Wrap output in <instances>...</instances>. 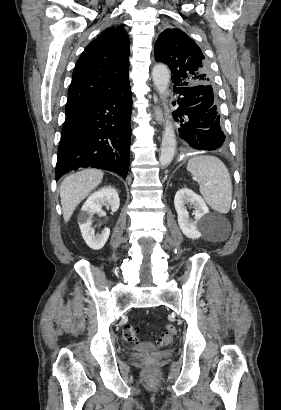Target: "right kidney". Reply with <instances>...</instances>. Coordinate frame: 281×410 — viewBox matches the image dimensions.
Wrapping results in <instances>:
<instances>
[{"label":"right kidney","mask_w":281,"mask_h":410,"mask_svg":"<svg viewBox=\"0 0 281 410\" xmlns=\"http://www.w3.org/2000/svg\"><path fill=\"white\" fill-rule=\"evenodd\" d=\"M102 205L109 207L112 212L119 209L120 199L115 188L104 187L91 194L82 206L78 217L83 239L94 250L101 249L110 235L109 228H104L101 234H95V230L92 227V217L95 213L102 212Z\"/></svg>","instance_id":"ca27d5eb"}]
</instances>
